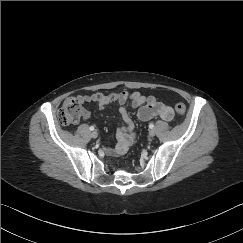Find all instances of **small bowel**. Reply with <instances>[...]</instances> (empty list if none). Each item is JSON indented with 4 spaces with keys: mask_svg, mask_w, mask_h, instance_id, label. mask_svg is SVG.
Returning <instances> with one entry per match:
<instances>
[{
    "mask_svg": "<svg viewBox=\"0 0 243 243\" xmlns=\"http://www.w3.org/2000/svg\"><path fill=\"white\" fill-rule=\"evenodd\" d=\"M83 103H94L103 108L112 103H117L118 117L123 121V125L116 130L115 136L117 143L115 146H103V151L110 156H119L124 154L130 145L134 142V122L129 113V107L138 108L137 119L139 121H148L156 116H159L165 121H170L174 114L172 109L159 102L154 96H145L140 92L129 93L121 91L117 94H92L79 96ZM82 116L84 119L90 117L88 110H83Z\"/></svg>",
    "mask_w": 243,
    "mask_h": 243,
    "instance_id": "obj_1",
    "label": "small bowel"
}]
</instances>
